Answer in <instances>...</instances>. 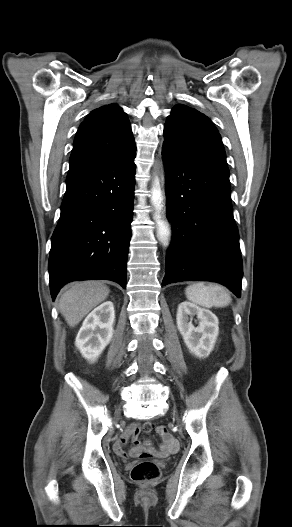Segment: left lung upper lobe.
<instances>
[{
	"label": "left lung upper lobe",
	"mask_w": 292,
	"mask_h": 527,
	"mask_svg": "<svg viewBox=\"0 0 292 527\" xmlns=\"http://www.w3.org/2000/svg\"><path fill=\"white\" fill-rule=\"evenodd\" d=\"M163 147L190 159L227 167L225 150L212 121L185 105H177L164 128Z\"/></svg>",
	"instance_id": "1"
}]
</instances>
